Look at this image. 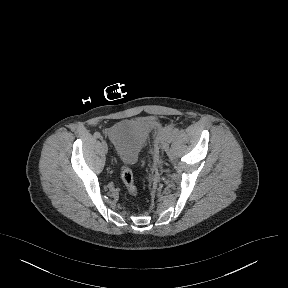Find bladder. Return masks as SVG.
I'll list each match as a JSON object with an SVG mask.
<instances>
[{
    "mask_svg": "<svg viewBox=\"0 0 288 288\" xmlns=\"http://www.w3.org/2000/svg\"><path fill=\"white\" fill-rule=\"evenodd\" d=\"M149 132L150 126L146 121L135 120L114 125L108 130V136L118 159L129 164L137 159L139 149L147 140Z\"/></svg>",
    "mask_w": 288,
    "mask_h": 288,
    "instance_id": "31cf9c89",
    "label": "bladder"
}]
</instances>
